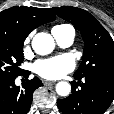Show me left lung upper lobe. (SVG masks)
<instances>
[{
	"instance_id": "obj_1",
	"label": "left lung upper lobe",
	"mask_w": 114,
	"mask_h": 114,
	"mask_svg": "<svg viewBox=\"0 0 114 114\" xmlns=\"http://www.w3.org/2000/svg\"><path fill=\"white\" fill-rule=\"evenodd\" d=\"M51 10L76 26L85 42L83 60L74 75L114 77V42L104 27L90 13L77 7Z\"/></svg>"
}]
</instances>
